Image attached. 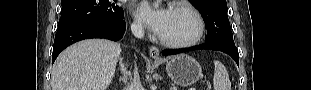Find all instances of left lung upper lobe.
<instances>
[{
    "mask_svg": "<svg viewBox=\"0 0 311 90\" xmlns=\"http://www.w3.org/2000/svg\"><path fill=\"white\" fill-rule=\"evenodd\" d=\"M207 26L206 42L234 44L233 34L227 16L226 0H192Z\"/></svg>",
    "mask_w": 311,
    "mask_h": 90,
    "instance_id": "left-lung-upper-lobe-1",
    "label": "left lung upper lobe"
}]
</instances>
